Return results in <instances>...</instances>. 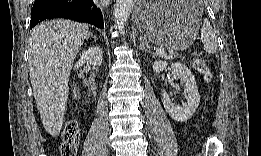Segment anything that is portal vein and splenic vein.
Instances as JSON below:
<instances>
[{
	"label": "portal vein and splenic vein",
	"instance_id": "18ae733b",
	"mask_svg": "<svg viewBox=\"0 0 261 156\" xmlns=\"http://www.w3.org/2000/svg\"><path fill=\"white\" fill-rule=\"evenodd\" d=\"M156 55L158 56H164L165 55V49L163 47H160L156 50Z\"/></svg>",
	"mask_w": 261,
	"mask_h": 156
}]
</instances>
